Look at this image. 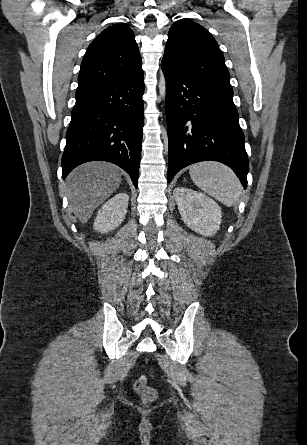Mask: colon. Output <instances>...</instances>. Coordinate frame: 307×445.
I'll return each instance as SVG.
<instances>
[{
	"label": "colon",
	"instance_id": "5ec220e1",
	"mask_svg": "<svg viewBox=\"0 0 307 445\" xmlns=\"http://www.w3.org/2000/svg\"><path fill=\"white\" fill-rule=\"evenodd\" d=\"M135 392L146 402H151L156 398V391L148 384L145 376H140L134 383Z\"/></svg>",
	"mask_w": 307,
	"mask_h": 445
}]
</instances>
